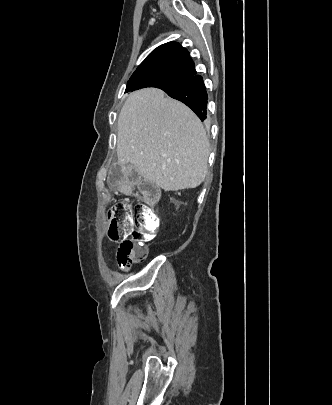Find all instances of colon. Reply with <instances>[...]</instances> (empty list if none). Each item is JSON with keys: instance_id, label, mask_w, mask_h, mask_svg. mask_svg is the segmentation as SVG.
I'll return each mask as SVG.
<instances>
[{"instance_id": "1", "label": "colon", "mask_w": 332, "mask_h": 405, "mask_svg": "<svg viewBox=\"0 0 332 405\" xmlns=\"http://www.w3.org/2000/svg\"><path fill=\"white\" fill-rule=\"evenodd\" d=\"M140 192L147 201L155 202L159 191L155 185L143 181ZM108 236L119 243L118 265L127 269L143 262L147 257L146 237H152L158 230L160 220L155 211L145 203H118L108 213Z\"/></svg>"}]
</instances>
